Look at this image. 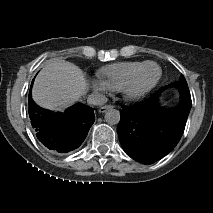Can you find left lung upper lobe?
Returning <instances> with one entry per match:
<instances>
[{"instance_id": "5c2ea615", "label": "left lung upper lobe", "mask_w": 213, "mask_h": 213, "mask_svg": "<svg viewBox=\"0 0 213 213\" xmlns=\"http://www.w3.org/2000/svg\"><path fill=\"white\" fill-rule=\"evenodd\" d=\"M180 83H187L183 75L181 76Z\"/></svg>"}]
</instances>
